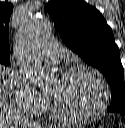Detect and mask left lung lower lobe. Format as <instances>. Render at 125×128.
Wrapping results in <instances>:
<instances>
[{"label":"left lung lower lobe","mask_w":125,"mask_h":128,"mask_svg":"<svg viewBox=\"0 0 125 128\" xmlns=\"http://www.w3.org/2000/svg\"><path fill=\"white\" fill-rule=\"evenodd\" d=\"M118 113H121V114H124V115H125V111H120V112H118Z\"/></svg>","instance_id":"left-lung-lower-lobe-1"}]
</instances>
